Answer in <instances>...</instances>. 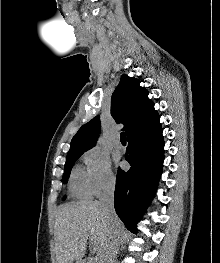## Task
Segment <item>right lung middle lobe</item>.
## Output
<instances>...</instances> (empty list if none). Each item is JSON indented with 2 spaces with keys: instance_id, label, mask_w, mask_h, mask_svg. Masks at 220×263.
Segmentation results:
<instances>
[{
  "instance_id": "obj_1",
  "label": "right lung middle lobe",
  "mask_w": 220,
  "mask_h": 263,
  "mask_svg": "<svg viewBox=\"0 0 220 263\" xmlns=\"http://www.w3.org/2000/svg\"><path fill=\"white\" fill-rule=\"evenodd\" d=\"M83 153H74V154H69L67 155L66 158V163H65V167H64V174H63V181L64 183L67 182L71 169L75 163V161L82 155ZM65 199V197L63 198Z\"/></svg>"
}]
</instances>
